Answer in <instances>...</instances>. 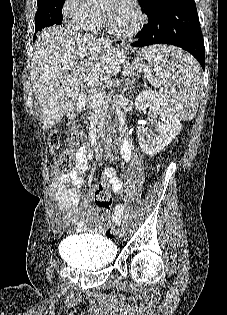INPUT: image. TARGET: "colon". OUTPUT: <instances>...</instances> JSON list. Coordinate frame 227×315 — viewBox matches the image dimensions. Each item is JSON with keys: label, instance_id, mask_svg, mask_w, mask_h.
<instances>
[{"label": "colon", "instance_id": "1", "mask_svg": "<svg viewBox=\"0 0 227 315\" xmlns=\"http://www.w3.org/2000/svg\"><path fill=\"white\" fill-rule=\"evenodd\" d=\"M68 141L70 143V149L60 152L51 158L46 166V179L48 181L55 180L62 173L70 170L73 162V149L80 147L85 141V134L78 129H72L68 133ZM61 138L57 132H53L47 138V145L51 151H55L59 148ZM95 203L97 206V216L103 221L105 226L110 224V221L106 218L109 217L113 200L110 192L105 187H99L95 192ZM105 219V220H104ZM108 237H114L118 234V230L115 227L108 228L106 232Z\"/></svg>", "mask_w": 227, "mask_h": 315}]
</instances>
